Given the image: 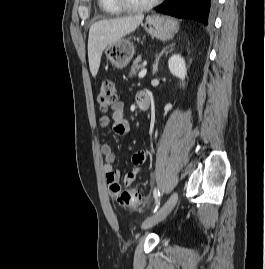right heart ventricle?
I'll list each match as a JSON object with an SVG mask.
<instances>
[{"mask_svg": "<svg viewBox=\"0 0 265 269\" xmlns=\"http://www.w3.org/2000/svg\"><path fill=\"white\" fill-rule=\"evenodd\" d=\"M100 9L109 14H119L123 11L113 0H98Z\"/></svg>", "mask_w": 265, "mask_h": 269, "instance_id": "obj_1", "label": "right heart ventricle"}]
</instances>
